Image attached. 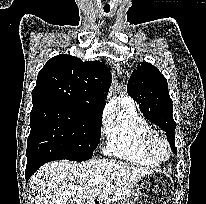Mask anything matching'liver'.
Returning a JSON list of instances; mask_svg holds the SVG:
<instances>
[{"label": "liver", "mask_w": 206, "mask_h": 204, "mask_svg": "<svg viewBox=\"0 0 206 204\" xmlns=\"http://www.w3.org/2000/svg\"><path fill=\"white\" fill-rule=\"evenodd\" d=\"M149 172L113 159L54 161L42 166L29 186L36 195L35 204H66L68 200L90 204L94 199L110 204L124 199L135 182ZM96 176H102L103 181L95 183Z\"/></svg>", "instance_id": "1"}]
</instances>
